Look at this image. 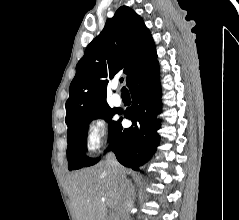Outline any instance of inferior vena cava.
Wrapping results in <instances>:
<instances>
[{
  "label": "inferior vena cava",
  "instance_id": "obj_1",
  "mask_svg": "<svg viewBox=\"0 0 239 220\" xmlns=\"http://www.w3.org/2000/svg\"><path fill=\"white\" fill-rule=\"evenodd\" d=\"M106 164L109 165L115 174L119 178V185L121 190V196H122V204L121 208L119 210V215L121 220H130L129 212L133 207V200L131 198V189L129 185L127 184L126 178L123 174V169L119 162L117 161L114 153L109 152L106 155Z\"/></svg>",
  "mask_w": 239,
  "mask_h": 220
}]
</instances>
